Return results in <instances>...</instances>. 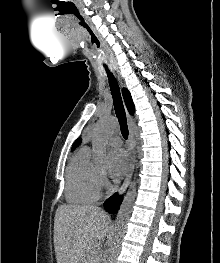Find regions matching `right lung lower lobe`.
I'll list each match as a JSON object with an SVG mask.
<instances>
[{"instance_id": "right-lung-lower-lobe-1", "label": "right lung lower lobe", "mask_w": 220, "mask_h": 263, "mask_svg": "<svg viewBox=\"0 0 220 263\" xmlns=\"http://www.w3.org/2000/svg\"><path fill=\"white\" fill-rule=\"evenodd\" d=\"M121 200L122 199L121 197H119L118 194H114L113 196H111L109 199L105 201L104 208L106 209V211L110 213H116L121 203Z\"/></svg>"}]
</instances>
